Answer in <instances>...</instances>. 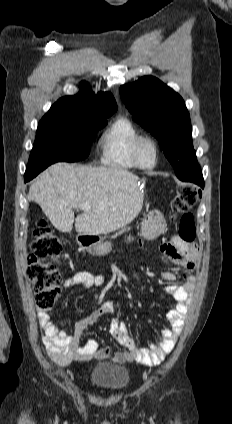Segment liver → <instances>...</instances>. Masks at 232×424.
Returning <instances> with one entry per match:
<instances>
[{
    "label": "liver",
    "instance_id": "obj_1",
    "mask_svg": "<svg viewBox=\"0 0 232 424\" xmlns=\"http://www.w3.org/2000/svg\"><path fill=\"white\" fill-rule=\"evenodd\" d=\"M139 177L119 167H89L65 162L53 164L32 183L29 200L41 207L53 226L85 235L113 232L141 211L144 194ZM91 209L74 219V208Z\"/></svg>",
    "mask_w": 232,
    "mask_h": 424
}]
</instances>
